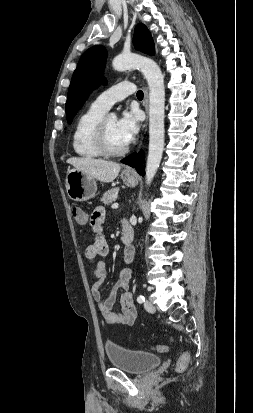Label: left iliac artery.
<instances>
[{"instance_id":"44dca946","label":"left iliac artery","mask_w":253,"mask_h":413,"mask_svg":"<svg viewBox=\"0 0 253 413\" xmlns=\"http://www.w3.org/2000/svg\"><path fill=\"white\" fill-rule=\"evenodd\" d=\"M137 302L138 303H143V302H145V297L143 296V295H139L138 297H137Z\"/></svg>"}]
</instances>
